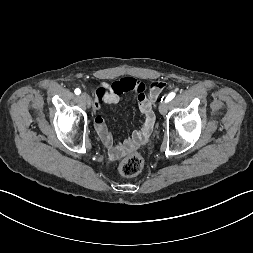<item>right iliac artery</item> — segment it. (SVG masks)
Returning a JSON list of instances; mask_svg holds the SVG:
<instances>
[{"mask_svg":"<svg viewBox=\"0 0 253 253\" xmlns=\"http://www.w3.org/2000/svg\"><path fill=\"white\" fill-rule=\"evenodd\" d=\"M74 92H75L76 95H79L81 93V90L79 88H77V89H75Z\"/></svg>","mask_w":253,"mask_h":253,"instance_id":"1","label":"right iliac artery"}]
</instances>
